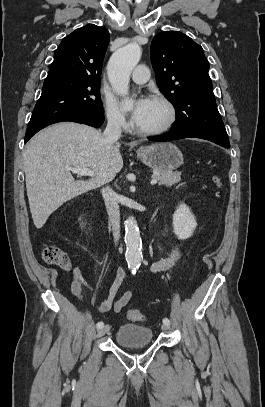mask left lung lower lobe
Instances as JSON below:
<instances>
[{
    "label": "left lung lower lobe",
    "mask_w": 265,
    "mask_h": 407,
    "mask_svg": "<svg viewBox=\"0 0 265 407\" xmlns=\"http://www.w3.org/2000/svg\"><path fill=\"white\" fill-rule=\"evenodd\" d=\"M182 138L206 139V140L212 141L218 145H221L223 147L230 148L229 142H222V141L216 140L214 138L208 137L206 135H202V134L195 133V132H169V133L161 135V136L149 137L148 139L153 140V141H170V140L182 139Z\"/></svg>",
    "instance_id": "obj_1"
}]
</instances>
